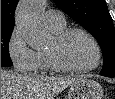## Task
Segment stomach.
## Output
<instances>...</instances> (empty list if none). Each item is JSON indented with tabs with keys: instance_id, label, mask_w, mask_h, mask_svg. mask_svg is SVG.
Segmentation results:
<instances>
[{
	"instance_id": "1",
	"label": "stomach",
	"mask_w": 115,
	"mask_h": 99,
	"mask_svg": "<svg viewBox=\"0 0 115 99\" xmlns=\"http://www.w3.org/2000/svg\"><path fill=\"white\" fill-rule=\"evenodd\" d=\"M103 93V88L98 82L82 77L70 85L68 99H102Z\"/></svg>"
}]
</instances>
